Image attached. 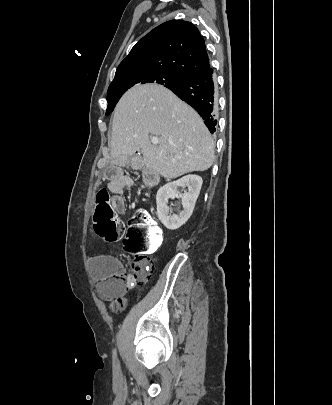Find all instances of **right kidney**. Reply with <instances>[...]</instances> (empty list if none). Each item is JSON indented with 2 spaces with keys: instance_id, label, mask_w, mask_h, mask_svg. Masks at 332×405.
Listing matches in <instances>:
<instances>
[{
  "instance_id": "ca27d5eb",
  "label": "right kidney",
  "mask_w": 332,
  "mask_h": 405,
  "mask_svg": "<svg viewBox=\"0 0 332 405\" xmlns=\"http://www.w3.org/2000/svg\"><path fill=\"white\" fill-rule=\"evenodd\" d=\"M202 178L197 175H187L176 181L163 185L157 192V215L162 224L169 230H176L187 222L193 213L196 200L202 187ZM179 187H187L188 192L179 194ZM179 197L183 210L178 214H171L168 199Z\"/></svg>"
}]
</instances>
